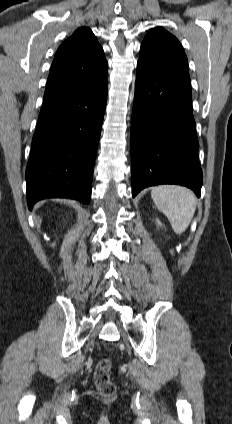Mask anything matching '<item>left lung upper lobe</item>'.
<instances>
[{
    "label": "left lung upper lobe",
    "instance_id": "1",
    "mask_svg": "<svg viewBox=\"0 0 232 424\" xmlns=\"http://www.w3.org/2000/svg\"><path fill=\"white\" fill-rule=\"evenodd\" d=\"M137 68L152 73L188 71V62L180 42L161 27L145 36Z\"/></svg>",
    "mask_w": 232,
    "mask_h": 424
}]
</instances>
